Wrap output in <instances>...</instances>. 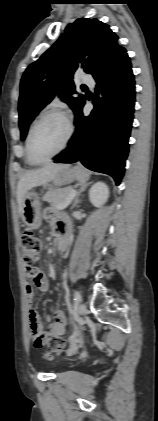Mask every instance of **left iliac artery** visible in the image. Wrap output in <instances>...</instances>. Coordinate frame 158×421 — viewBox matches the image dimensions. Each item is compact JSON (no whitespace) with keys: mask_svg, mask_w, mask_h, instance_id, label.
<instances>
[{"mask_svg":"<svg viewBox=\"0 0 158 421\" xmlns=\"http://www.w3.org/2000/svg\"><path fill=\"white\" fill-rule=\"evenodd\" d=\"M81 299L82 298H81V295H80L79 291L75 290V292H74V300H75V302L78 303V302L81 301Z\"/></svg>","mask_w":158,"mask_h":421,"instance_id":"1","label":"left iliac artery"}]
</instances>
